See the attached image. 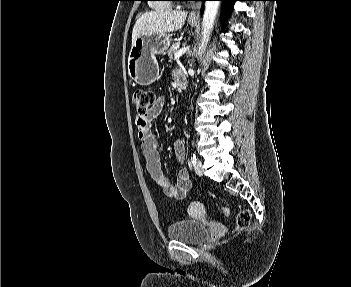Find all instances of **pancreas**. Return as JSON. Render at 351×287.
Masks as SVG:
<instances>
[{"label": "pancreas", "mask_w": 351, "mask_h": 287, "mask_svg": "<svg viewBox=\"0 0 351 287\" xmlns=\"http://www.w3.org/2000/svg\"><path fill=\"white\" fill-rule=\"evenodd\" d=\"M178 46H179V43H176V44H173L169 50L167 51V55L170 59L173 58V56L175 55V53L177 52V49H178Z\"/></svg>", "instance_id": "obj_1"}]
</instances>
